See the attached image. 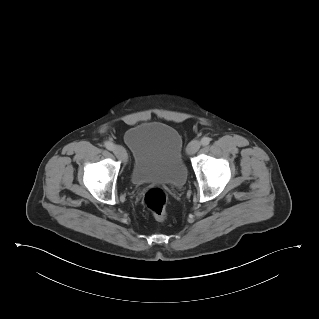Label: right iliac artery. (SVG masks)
Listing matches in <instances>:
<instances>
[{
  "label": "right iliac artery",
  "mask_w": 319,
  "mask_h": 319,
  "mask_svg": "<svg viewBox=\"0 0 319 319\" xmlns=\"http://www.w3.org/2000/svg\"><path fill=\"white\" fill-rule=\"evenodd\" d=\"M104 146H105L108 150H111V151H113V149H114V144L111 143V142H105Z\"/></svg>",
  "instance_id": "obj_1"
}]
</instances>
